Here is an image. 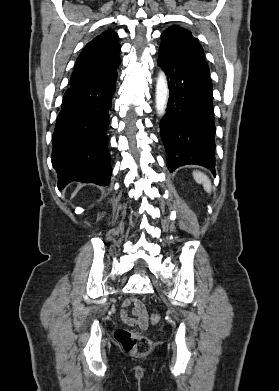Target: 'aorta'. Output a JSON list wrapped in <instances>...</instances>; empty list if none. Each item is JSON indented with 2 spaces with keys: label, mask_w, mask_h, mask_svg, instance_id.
<instances>
[{
  "label": "aorta",
  "mask_w": 279,
  "mask_h": 391,
  "mask_svg": "<svg viewBox=\"0 0 279 391\" xmlns=\"http://www.w3.org/2000/svg\"><path fill=\"white\" fill-rule=\"evenodd\" d=\"M169 98V88L165 73L163 71L159 72L157 82H156V110L159 116L165 114Z\"/></svg>",
  "instance_id": "1"
}]
</instances>
